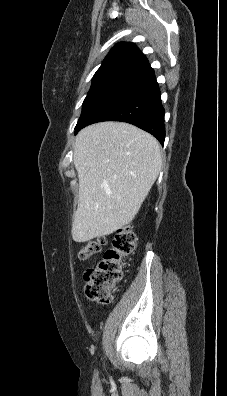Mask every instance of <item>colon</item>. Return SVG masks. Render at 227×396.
<instances>
[{
  "instance_id": "1",
  "label": "colon",
  "mask_w": 227,
  "mask_h": 396,
  "mask_svg": "<svg viewBox=\"0 0 227 396\" xmlns=\"http://www.w3.org/2000/svg\"><path fill=\"white\" fill-rule=\"evenodd\" d=\"M105 245L104 238L90 240L80 250L79 256L87 259L101 251ZM136 247V235L130 228L119 229L112 245L103 254L95 267L84 274L85 293L87 297L100 304H108L112 300L117 284L123 278V261L129 257Z\"/></svg>"
}]
</instances>
